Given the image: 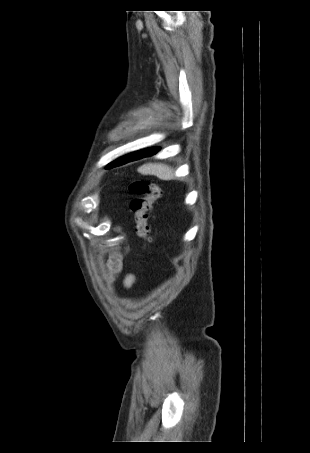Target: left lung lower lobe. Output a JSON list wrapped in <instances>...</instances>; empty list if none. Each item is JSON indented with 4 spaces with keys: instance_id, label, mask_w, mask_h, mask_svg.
I'll return each mask as SVG.
<instances>
[{
    "instance_id": "obj_1",
    "label": "left lung lower lobe",
    "mask_w": 310,
    "mask_h": 453,
    "mask_svg": "<svg viewBox=\"0 0 310 453\" xmlns=\"http://www.w3.org/2000/svg\"><path fill=\"white\" fill-rule=\"evenodd\" d=\"M159 151V148H149L145 150L139 151L136 155H134L131 161L138 160L147 156H152Z\"/></svg>"
}]
</instances>
